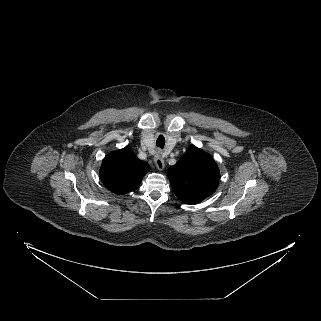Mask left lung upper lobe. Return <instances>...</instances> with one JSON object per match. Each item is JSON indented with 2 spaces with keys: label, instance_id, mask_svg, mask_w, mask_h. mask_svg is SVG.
Masks as SVG:
<instances>
[{
  "label": "left lung upper lobe",
  "instance_id": "5c2ea615",
  "mask_svg": "<svg viewBox=\"0 0 321 321\" xmlns=\"http://www.w3.org/2000/svg\"><path fill=\"white\" fill-rule=\"evenodd\" d=\"M167 174L175 195L186 204H197L210 196L220 178L214 159L194 145Z\"/></svg>",
  "mask_w": 321,
  "mask_h": 321
}]
</instances>
